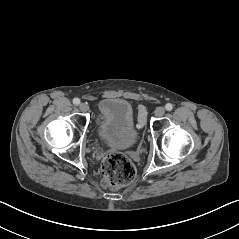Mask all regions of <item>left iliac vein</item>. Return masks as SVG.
Wrapping results in <instances>:
<instances>
[{
    "instance_id": "1",
    "label": "left iliac vein",
    "mask_w": 239,
    "mask_h": 239,
    "mask_svg": "<svg viewBox=\"0 0 239 239\" xmlns=\"http://www.w3.org/2000/svg\"><path fill=\"white\" fill-rule=\"evenodd\" d=\"M154 113H155V116L161 117V116L164 115L165 109H164V107H161V106H160V107H157V108L155 109Z\"/></svg>"
}]
</instances>
